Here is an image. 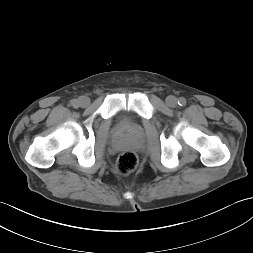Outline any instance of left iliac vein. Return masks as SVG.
I'll return each instance as SVG.
<instances>
[{"mask_svg": "<svg viewBox=\"0 0 253 253\" xmlns=\"http://www.w3.org/2000/svg\"><path fill=\"white\" fill-rule=\"evenodd\" d=\"M166 104L169 107H175L177 105V99L174 96H168L166 98Z\"/></svg>", "mask_w": 253, "mask_h": 253, "instance_id": "obj_1", "label": "left iliac vein"}]
</instances>
